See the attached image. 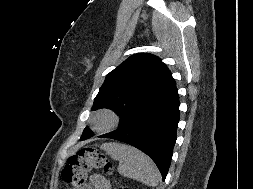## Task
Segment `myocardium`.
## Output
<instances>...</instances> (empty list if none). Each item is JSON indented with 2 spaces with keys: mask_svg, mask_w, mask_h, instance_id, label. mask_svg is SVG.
<instances>
[{
  "mask_svg": "<svg viewBox=\"0 0 253 189\" xmlns=\"http://www.w3.org/2000/svg\"><path fill=\"white\" fill-rule=\"evenodd\" d=\"M118 116L109 109L99 110L92 119L93 127L99 132H108L118 124Z\"/></svg>",
  "mask_w": 253,
  "mask_h": 189,
  "instance_id": "1",
  "label": "myocardium"
}]
</instances>
